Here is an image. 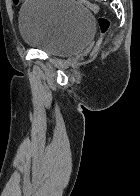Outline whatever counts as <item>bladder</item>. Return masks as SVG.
I'll list each match as a JSON object with an SVG mask.
<instances>
[{"label": "bladder", "mask_w": 140, "mask_h": 196, "mask_svg": "<svg viewBox=\"0 0 140 196\" xmlns=\"http://www.w3.org/2000/svg\"><path fill=\"white\" fill-rule=\"evenodd\" d=\"M18 20L23 42L54 56L83 50L95 31L92 12L76 0H27Z\"/></svg>", "instance_id": "obj_1"}]
</instances>
